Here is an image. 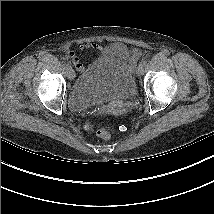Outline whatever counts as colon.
Returning <instances> with one entry per match:
<instances>
[{
	"instance_id": "1",
	"label": "colon",
	"mask_w": 214,
	"mask_h": 214,
	"mask_svg": "<svg viewBox=\"0 0 214 214\" xmlns=\"http://www.w3.org/2000/svg\"><path fill=\"white\" fill-rule=\"evenodd\" d=\"M96 135L104 140H109L111 135H110V131L108 128L106 127H102V128H98L96 130Z\"/></svg>"
}]
</instances>
